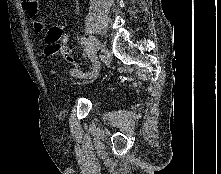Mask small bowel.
Returning <instances> with one entry per match:
<instances>
[{
    "mask_svg": "<svg viewBox=\"0 0 221 174\" xmlns=\"http://www.w3.org/2000/svg\"><path fill=\"white\" fill-rule=\"evenodd\" d=\"M24 4H25L26 11L31 19L34 30L38 33H43L46 30V26L40 17L38 0H24ZM53 28L59 29L63 34V30H64L63 24L54 26ZM45 43H46V47H45L44 53L46 55H54L55 53L53 51V42L49 41V39L47 38V35L45 37Z\"/></svg>",
    "mask_w": 221,
    "mask_h": 174,
    "instance_id": "obj_1",
    "label": "small bowel"
}]
</instances>
